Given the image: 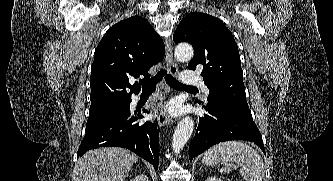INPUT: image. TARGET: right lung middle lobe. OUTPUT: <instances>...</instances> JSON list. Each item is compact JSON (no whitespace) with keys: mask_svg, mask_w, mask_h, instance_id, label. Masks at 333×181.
I'll list each match as a JSON object with an SVG mask.
<instances>
[{"mask_svg":"<svg viewBox=\"0 0 333 181\" xmlns=\"http://www.w3.org/2000/svg\"><path fill=\"white\" fill-rule=\"evenodd\" d=\"M128 101H122V102L114 103V104L104 106V107H101L98 109L89 110V118H88L87 124L98 121L100 119H103V118L111 115L114 111L121 109L122 107L127 105Z\"/></svg>","mask_w":333,"mask_h":181,"instance_id":"1","label":"right lung middle lobe"}]
</instances>
